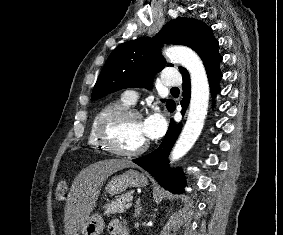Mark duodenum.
Here are the masks:
<instances>
[{
  "label": "duodenum",
  "instance_id": "1",
  "mask_svg": "<svg viewBox=\"0 0 283 235\" xmlns=\"http://www.w3.org/2000/svg\"><path fill=\"white\" fill-rule=\"evenodd\" d=\"M119 235H128V229L125 226L120 225Z\"/></svg>",
  "mask_w": 283,
  "mask_h": 235
}]
</instances>
